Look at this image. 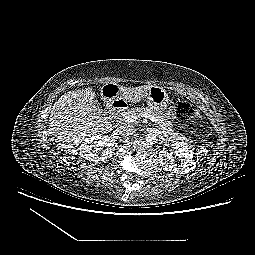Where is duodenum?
<instances>
[{"instance_id": "obj_1", "label": "duodenum", "mask_w": 255, "mask_h": 255, "mask_svg": "<svg viewBox=\"0 0 255 255\" xmlns=\"http://www.w3.org/2000/svg\"><path fill=\"white\" fill-rule=\"evenodd\" d=\"M127 107V103L121 98H111L108 103V113L112 118H116Z\"/></svg>"}]
</instances>
